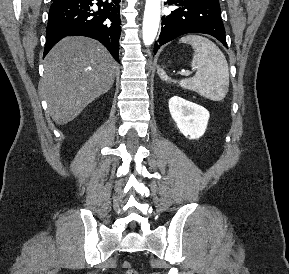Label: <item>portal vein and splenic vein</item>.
<instances>
[{
  "label": "portal vein and splenic vein",
  "mask_w": 289,
  "mask_h": 274,
  "mask_svg": "<svg viewBox=\"0 0 289 274\" xmlns=\"http://www.w3.org/2000/svg\"><path fill=\"white\" fill-rule=\"evenodd\" d=\"M189 75H190V73H189V72H186V73H185V76H189Z\"/></svg>",
  "instance_id": "1"
}]
</instances>
